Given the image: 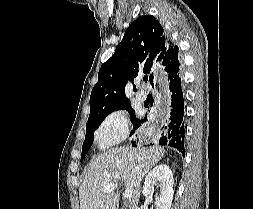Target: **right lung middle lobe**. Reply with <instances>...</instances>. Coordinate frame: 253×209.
<instances>
[{
    "instance_id": "dd1d6c3e",
    "label": "right lung middle lobe",
    "mask_w": 253,
    "mask_h": 209,
    "mask_svg": "<svg viewBox=\"0 0 253 209\" xmlns=\"http://www.w3.org/2000/svg\"><path fill=\"white\" fill-rule=\"evenodd\" d=\"M122 109H126L130 113L131 120H132L133 124L135 122H138V119L135 117L134 111L130 106L118 107L114 110H110L108 112L97 114L95 116L89 117L88 122L86 124V137H85L83 147H82L81 159H83L85 157L88 150L92 146V143L94 140V131L99 127V125L106 118V116L109 115L113 111L122 110Z\"/></svg>"
}]
</instances>
